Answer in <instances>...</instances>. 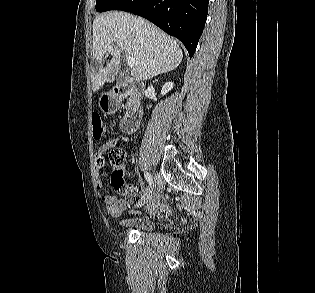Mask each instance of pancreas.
Listing matches in <instances>:
<instances>
[{"label":"pancreas","instance_id":"pancreas-1","mask_svg":"<svg viewBox=\"0 0 315 293\" xmlns=\"http://www.w3.org/2000/svg\"><path fill=\"white\" fill-rule=\"evenodd\" d=\"M134 101H136V96H135V95H131V97H130L129 100H128L127 105H129L130 103H132V102H134Z\"/></svg>","mask_w":315,"mask_h":293}]
</instances>
